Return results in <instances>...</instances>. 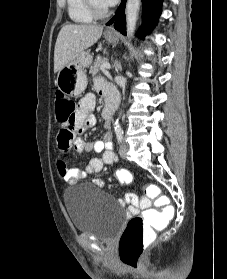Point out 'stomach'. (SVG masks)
I'll list each match as a JSON object with an SVG mask.
<instances>
[{
	"instance_id": "obj_1",
	"label": "stomach",
	"mask_w": 227,
	"mask_h": 279,
	"mask_svg": "<svg viewBox=\"0 0 227 279\" xmlns=\"http://www.w3.org/2000/svg\"><path fill=\"white\" fill-rule=\"evenodd\" d=\"M105 39L116 43L118 38L114 33L105 32ZM92 63V56L88 51H82L72 62L62 67L57 74L56 85L67 96L78 97L87 87L85 68Z\"/></svg>"
}]
</instances>
